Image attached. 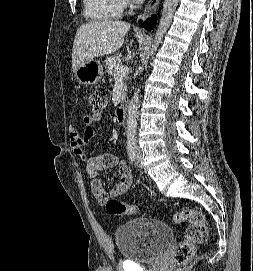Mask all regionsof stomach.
I'll list each match as a JSON object with an SVG mask.
<instances>
[{"instance_id":"stomach-1","label":"stomach","mask_w":253,"mask_h":271,"mask_svg":"<svg viewBox=\"0 0 253 271\" xmlns=\"http://www.w3.org/2000/svg\"><path fill=\"white\" fill-rule=\"evenodd\" d=\"M77 82L82 85H93L100 81L103 76V66L99 61H86L75 71Z\"/></svg>"}]
</instances>
